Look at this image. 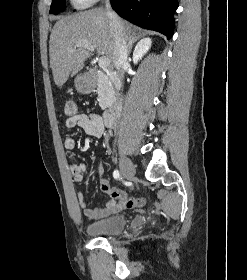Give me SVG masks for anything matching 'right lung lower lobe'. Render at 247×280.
I'll list each match as a JSON object with an SVG mask.
<instances>
[{
    "mask_svg": "<svg viewBox=\"0 0 247 280\" xmlns=\"http://www.w3.org/2000/svg\"><path fill=\"white\" fill-rule=\"evenodd\" d=\"M114 10L123 18L141 27L158 31L168 39L173 35V15L177 0H110Z\"/></svg>",
    "mask_w": 247,
    "mask_h": 280,
    "instance_id": "right-lung-lower-lobe-1",
    "label": "right lung lower lobe"
}]
</instances>
